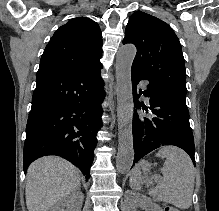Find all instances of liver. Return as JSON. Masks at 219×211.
<instances>
[{"mask_svg": "<svg viewBox=\"0 0 219 211\" xmlns=\"http://www.w3.org/2000/svg\"><path fill=\"white\" fill-rule=\"evenodd\" d=\"M80 179V169L63 157L45 155L36 159L27 169L28 211H49L60 197L80 187Z\"/></svg>", "mask_w": 219, "mask_h": 211, "instance_id": "obj_1", "label": "liver"}]
</instances>
